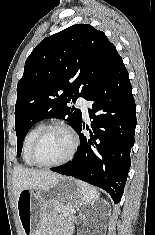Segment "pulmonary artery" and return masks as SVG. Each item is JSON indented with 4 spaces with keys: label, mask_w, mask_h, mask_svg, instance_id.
<instances>
[{
    "label": "pulmonary artery",
    "mask_w": 155,
    "mask_h": 235,
    "mask_svg": "<svg viewBox=\"0 0 155 235\" xmlns=\"http://www.w3.org/2000/svg\"><path fill=\"white\" fill-rule=\"evenodd\" d=\"M77 104L82 109L84 116L87 118L88 117V107H89V103L87 102V100L84 99L83 97H79L77 100Z\"/></svg>",
    "instance_id": "1"
}]
</instances>
